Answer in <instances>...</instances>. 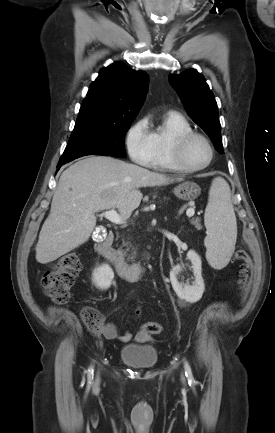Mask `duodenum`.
I'll list each match as a JSON object with an SVG mask.
<instances>
[{
	"instance_id": "duodenum-1",
	"label": "duodenum",
	"mask_w": 275,
	"mask_h": 433,
	"mask_svg": "<svg viewBox=\"0 0 275 433\" xmlns=\"http://www.w3.org/2000/svg\"><path fill=\"white\" fill-rule=\"evenodd\" d=\"M114 234L107 233L104 237L97 238L95 248L108 262H110L117 274L126 281H136L142 279L146 274V269L140 263H128L123 256L113 247Z\"/></svg>"
}]
</instances>
